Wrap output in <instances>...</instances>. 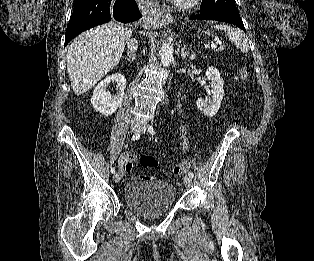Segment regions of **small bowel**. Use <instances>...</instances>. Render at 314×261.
<instances>
[{"instance_id": "small-bowel-1", "label": "small bowel", "mask_w": 314, "mask_h": 261, "mask_svg": "<svg viewBox=\"0 0 314 261\" xmlns=\"http://www.w3.org/2000/svg\"><path fill=\"white\" fill-rule=\"evenodd\" d=\"M136 160L134 153H126L120 159V167L123 172H130L132 169V163Z\"/></svg>"}]
</instances>
